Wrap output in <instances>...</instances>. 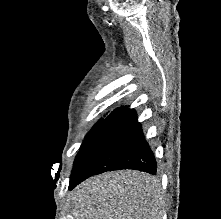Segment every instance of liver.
<instances>
[{
  "instance_id": "obj_1",
  "label": "liver",
  "mask_w": 221,
  "mask_h": 219,
  "mask_svg": "<svg viewBox=\"0 0 221 219\" xmlns=\"http://www.w3.org/2000/svg\"><path fill=\"white\" fill-rule=\"evenodd\" d=\"M71 200L74 219H162L165 204L157 179L133 170L89 178Z\"/></svg>"
}]
</instances>
